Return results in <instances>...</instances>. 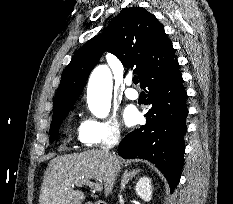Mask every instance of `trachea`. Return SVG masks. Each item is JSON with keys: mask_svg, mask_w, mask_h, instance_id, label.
I'll return each mask as SVG.
<instances>
[{"mask_svg": "<svg viewBox=\"0 0 233 204\" xmlns=\"http://www.w3.org/2000/svg\"><path fill=\"white\" fill-rule=\"evenodd\" d=\"M133 83H134V84H137V83H138V78H137L136 76L133 78Z\"/></svg>", "mask_w": 233, "mask_h": 204, "instance_id": "1", "label": "trachea"}]
</instances>
